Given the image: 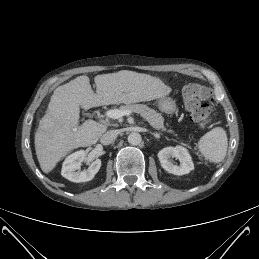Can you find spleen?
Here are the masks:
<instances>
[{
    "instance_id": "1",
    "label": "spleen",
    "mask_w": 259,
    "mask_h": 259,
    "mask_svg": "<svg viewBox=\"0 0 259 259\" xmlns=\"http://www.w3.org/2000/svg\"><path fill=\"white\" fill-rule=\"evenodd\" d=\"M201 155L212 163L221 162L226 155L228 138L222 127H215L202 136L198 142Z\"/></svg>"
}]
</instances>
